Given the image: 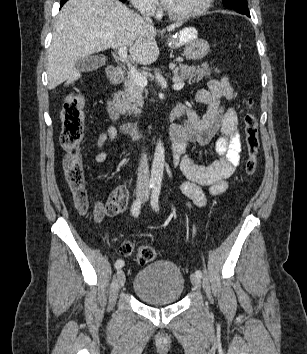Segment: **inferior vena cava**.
<instances>
[{"label":"inferior vena cava","instance_id":"1","mask_svg":"<svg viewBox=\"0 0 307 354\" xmlns=\"http://www.w3.org/2000/svg\"><path fill=\"white\" fill-rule=\"evenodd\" d=\"M143 19L147 24H152L151 12L144 8L140 9ZM136 188L138 192L147 193L149 188V167L146 153L141 154L139 161Z\"/></svg>","mask_w":307,"mask_h":354}]
</instances>
